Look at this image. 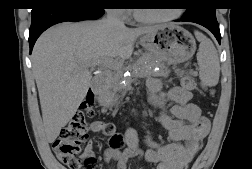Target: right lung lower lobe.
I'll list each match as a JSON object with an SVG mask.
<instances>
[{
    "mask_svg": "<svg viewBox=\"0 0 252 169\" xmlns=\"http://www.w3.org/2000/svg\"><path fill=\"white\" fill-rule=\"evenodd\" d=\"M103 14L104 8L80 0H45V3L32 8L30 53L37 38L49 27L66 21L96 20Z\"/></svg>",
    "mask_w": 252,
    "mask_h": 169,
    "instance_id": "1",
    "label": "right lung lower lobe"
}]
</instances>
